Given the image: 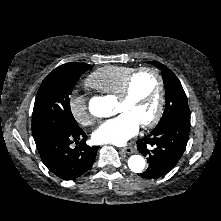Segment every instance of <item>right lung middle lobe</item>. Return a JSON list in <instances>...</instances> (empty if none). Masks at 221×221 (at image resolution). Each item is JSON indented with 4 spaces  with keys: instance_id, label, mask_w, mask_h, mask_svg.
Listing matches in <instances>:
<instances>
[{
    "instance_id": "obj_1",
    "label": "right lung middle lobe",
    "mask_w": 221,
    "mask_h": 221,
    "mask_svg": "<svg viewBox=\"0 0 221 221\" xmlns=\"http://www.w3.org/2000/svg\"><path fill=\"white\" fill-rule=\"evenodd\" d=\"M92 67L71 62L57 67L47 75L35 99L33 135L53 129L74 131L79 128L70 109V95L79 77Z\"/></svg>"
}]
</instances>
